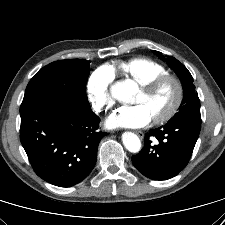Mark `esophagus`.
Instances as JSON below:
<instances>
[{
    "label": "esophagus",
    "instance_id": "34e87169",
    "mask_svg": "<svg viewBox=\"0 0 225 225\" xmlns=\"http://www.w3.org/2000/svg\"><path fill=\"white\" fill-rule=\"evenodd\" d=\"M137 134V136L140 138V139H143L144 138V133L142 131H136L135 132Z\"/></svg>",
    "mask_w": 225,
    "mask_h": 225
}]
</instances>
